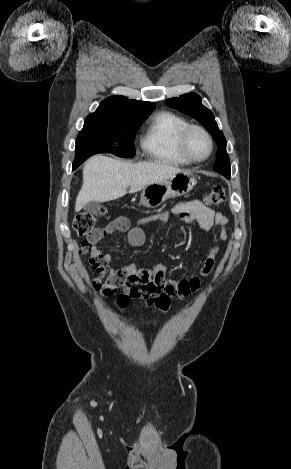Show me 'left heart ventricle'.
Segmentation results:
<instances>
[{
	"label": "left heart ventricle",
	"instance_id": "b2bd125f",
	"mask_svg": "<svg viewBox=\"0 0 291 469\" xmlns=\"http://www.w3.org/2000/svg\"><path fill=\"white\" fill-rule=\"evenodd\" d=\"M188 148L193 156L203 157L209 151V143L202 132L195 130L189 137Z\"/></svg>",
	"mask_w": 291,
	"mask_h": 469
}]
</instances>
